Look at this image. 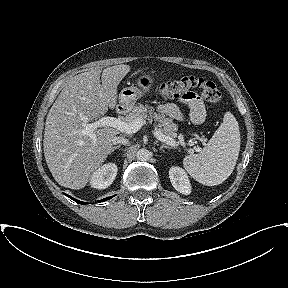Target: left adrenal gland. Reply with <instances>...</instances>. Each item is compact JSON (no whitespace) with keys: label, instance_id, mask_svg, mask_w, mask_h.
I'll return each mask as SVG.
<instances>
[{"label":"left adrenal gland","instance_id":"a2214340","mask_svg":"<svg viewBox=\"0 0 288 288\" xmlns=\"http://www.w3.org/2000/svg\"><path fill=\"white\" fill-rule=\"evenodd\" d=\"M163 148L171 149L170 146H167V145L163 144L162 146L159 147V150H163Z\"/></svg>","mask_w":288,"mask_h":288}]
</instances>
